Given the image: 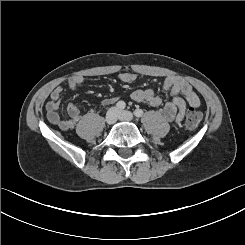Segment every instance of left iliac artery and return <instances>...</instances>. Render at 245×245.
Listing matches in <instances>:
<instances>
[{
    "label": "left iliac artery",
    "instance_id": "1",
    "mask_svg": "<svg viewBox=\"0 0 245 245\" xmlns=\"http://www.w3.org/2000/svg\"><path fill=\"white\" fill-rule=\"evenodd\" d=\"M143 114H144V112H143V110L142 109H140V108H137L135 111H134V115L136 116V117H142L143 116Z\"/></svg>",
    "mask_w": 245,
    "mask_h": 245
}]
</instances>
